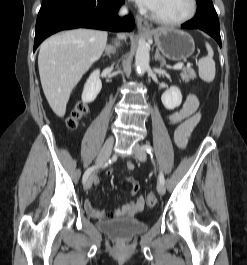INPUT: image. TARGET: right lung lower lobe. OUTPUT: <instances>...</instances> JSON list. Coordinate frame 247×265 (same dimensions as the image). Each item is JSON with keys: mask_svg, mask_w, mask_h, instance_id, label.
I'll list each match as a JSON object with an SVG mask.
<instances>
[{"mask_svg": "<svg viewBox=\"0 0 247 265\" xmlns=\"http://www.w3.org/2000/svg\"><path fill=\"white\" fill-rule=\"evenodd\" d=\"M124 0H43L36 21L34 51L48 36L66 29L131 31L132 15L117 17Z\"/></svg>", "mask_w": 247, "mask_h": 265, "instance_id": "obj_1", "label": "right lung lower lobe"}]
</instances>
